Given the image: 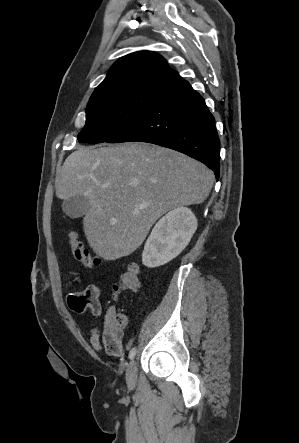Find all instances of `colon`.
I'll use <instances>...</instances> for the list:
<instances>
[{
	"label": "colon",
	"instance_id": "5ec220e1",
	"mask_svg": "<svg viewBox=\"0 0 299 443\" xmlns=\"http://www.w3.org/2000/svg\"><path fill=\"white\" fill-rule=\"evenodd\" d=\"M67 238L74 256L79 261L89 267L99 264V257L83 245L76 232L69 231ZM138 288L139 267L135 263H130L122 272L119 282L113 286V297L117 298L126 291H135ZM125 325V316L115 312L105 321V327L113 335H120L123 332Z\"/></svg>",
	"mask_w": 299,
	"mask_h": 443
}]
</instances>
